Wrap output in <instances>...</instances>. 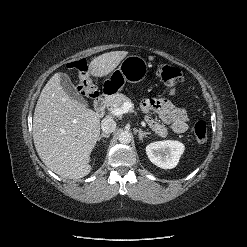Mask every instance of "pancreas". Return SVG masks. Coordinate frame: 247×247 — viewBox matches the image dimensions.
Listing matches in <instances>:
<instances>
[{
	"label": "pancreas",
	"mask_w": 247,
	"mask_h": 247,
	"mask_svg": "<svg viewBox=\"0 0 247 247\" xmlns=\"http://www.w3.org/2000/svg\"><path fill=\"white\" fill-rule=\"evenodd\" d=\"M126 102H131V100L122 93H116L105 100V105L107 108L116 109L121 108Z\"/></svg>",
	"instance_id": "obj_1"
}]
</instances>
